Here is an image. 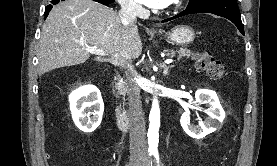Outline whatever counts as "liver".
<instances>
[{
  "label": "liver",
  "mask_w": 277,
  "mask_h": 166,
  "mask_svg": "<svg viewBox=\"0 0 277 166\" xmlns=\"http://www.w3.org/2000/svg\"><path fill=\"white\" fill-rule=\"evenodd\" d=\"M95 47L104 55L97 62L120 65L138 58L142 43L135 24L124 26L112 8L93 0H66L55 5L43 27L38 47V74L78 65L90 58L85 49Z\"/></svg>",
  "instance_id": "obj_1"
}]
</instances>
